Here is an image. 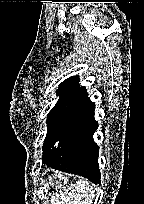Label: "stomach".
<instances>
[{
    "label": "stomach",
    "instance_id": "0dacf381",
    "mask_svg": "<svg viewBox=\"0 0 144 204\" xmlns=\"http://www.w3.org/2000/svg\"><path fill=\"white\" fill-rule=\"evenodd\" d=\"M66 180V177H63V175L61 174H57L53 179H50V182L52 183V185L62 186L63 183H66Z\"/></svg>",
    "mask_w": 144,
    "mask_h": 204
}]
</instances>
